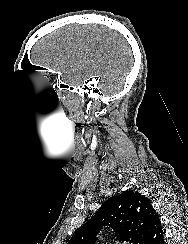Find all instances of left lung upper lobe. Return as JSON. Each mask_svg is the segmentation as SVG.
<instances>
[{
    "label": "left lung upper lobe",
    "mask_w": 188,
    "mask_h": 244,
    "mask_svg": "<svg viewBox=\"0 0 188 244\" xmlns=\"http://www.w3.org/2000/svg\"><path fill=\"white\" fill-rule=\"evenodd\" d=\"M150 199L138 192L124 191L109 198L67 244H94L104 225L114 230L116 238L131 244H143L147 228L155 214Z\"/></svg>",
    "instance_id": "obj_1"
}]
</instances>
